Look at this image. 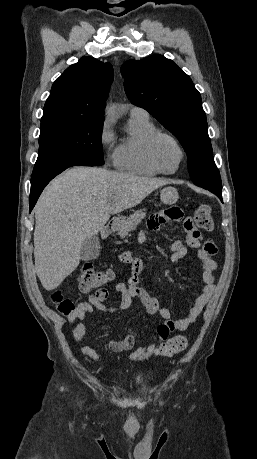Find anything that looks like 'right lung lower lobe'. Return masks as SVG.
<instances>
[{
  "mask_svg": "<svg viewBox=\"0 0 257 459\" xmlns=\"http://www.w3.org/2000/svg\"><path fill=\"white\" fill-rule=\"evenodd\" d=\"M71 166H94L83 160H69L35 167L31 177L30 212L45 186L58 174Z\"/></svg>",
  "mask_w": 257,
  "mask_h": 459,
  "instance_id": "98d812e1",
  "label": "right lung lower lobe"
}]
</instances>
